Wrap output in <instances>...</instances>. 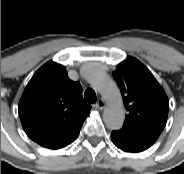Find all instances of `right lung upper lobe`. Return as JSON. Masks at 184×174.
Segmentation results:
<instances>
[{"mask_svg":"<svg viewBox=\"0 0 184 174\" xmlns=\"http://www.w3.org/2000/svg\"><path fill=\"white\" fill-rule=\"evenodd\" d=\"M81 85L69 79L64 66L49 61L33 75L19 102L24 131L51 148L80 128L91 106L83 102Z\"/></svg>","mask_w":184,"mask_h":174,"instance_id":"obj_1","label":"right lung upper lobe"}]
</instances>
